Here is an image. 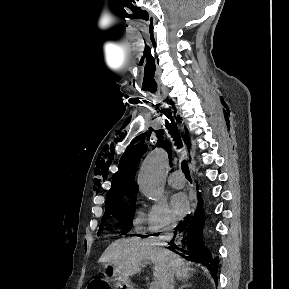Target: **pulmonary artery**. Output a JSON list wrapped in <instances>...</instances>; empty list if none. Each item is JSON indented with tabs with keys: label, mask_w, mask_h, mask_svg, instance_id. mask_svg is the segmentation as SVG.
<instances>
[{
	"label": "pulmonary artery",
	"mask_w": 289,
	"mask_h": 289,
	"mask_svg": "<svg viewBox=\"0 0 289 289\" xmlns=\"http://www.w3.org/2000/svg\"><path fill=\"white\" fill-rule=\"evenodd\" d=\"M168 184L173 187V188H182L185 185V180L183 178V175L180 171H174L172 172L168 179H167Z\"/></svg>",
	"instance_id": "e3ab8cb5"
}]
</instances>
